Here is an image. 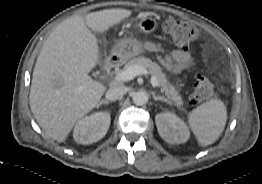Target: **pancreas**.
Here are the masks:
<instances>
[{
    "label": "pancreas",
    "mask_w": 262,
    "mask_h": 184,
    "mask_svg": "<svg viewBox=\"0 0 262 184\" xmlns=\"http://www.w3.org/2000/svg\"><path fill=\"white\" fill-rule=\"evenodd\" d=\"M134 65H139L148 70V72L157 79L158 85L161 87V92H163L172 103H175L177 106L183 104L181 96L178 94L175 87L168 82L166 75L162 72L160 66L157 63L152 62L149 58L143 56L133 58L127 62L122 70L117 71V74Z\"/></svg>",
    "instance_id": "cf45deb5"
}]
</instances>
